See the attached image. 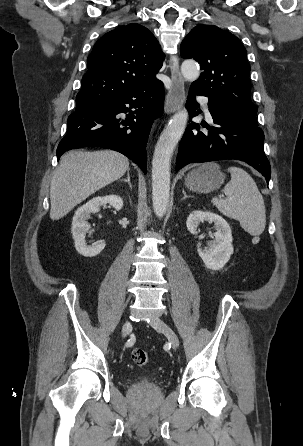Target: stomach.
I'll return each instance as SVG.
<instances>
[{
	"label": "stomach",
	"mask_w": 303,
	"mask_h": 446,
	"mask_svg": "<svg viewBox=\"0 0 303 446\" xmlns=\"http://www.w3.org/2000/svg\"><path fill=\"white\" fill-rule=\"evenodd\" d=\"M225 175L216 163H206L193 169L185 178L186 187L199 193H209L220 188Z\"/></svg>",
	"instance_id": "obj_1"
}]
</instances>
